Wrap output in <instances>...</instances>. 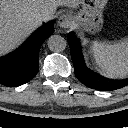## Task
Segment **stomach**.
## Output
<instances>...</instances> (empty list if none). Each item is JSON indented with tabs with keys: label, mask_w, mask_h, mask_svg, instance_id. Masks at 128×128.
<instances>
[{
	"label": "stomach",
	"mask_w": 128,
	"mask_h": 128,
	"mask_svg": "<svg viewBox=\"0 0 128 128\" xmlns=\"http://www.w3.org/2000/svg\"><path fill=\"white\" fill-rule=\"evenodd\" d=\"M108 0H82L80 11L73 16L77 29L97 33L103 26V10Z\"/></svg>",
	"instance_id": "stomach-1"
}]
</instances>
